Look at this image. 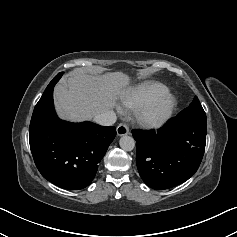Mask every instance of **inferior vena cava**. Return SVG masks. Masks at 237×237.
Masks as SVG:
<instances>
[{"mask_svg":"<svg viewBox=\"0 0 237 237\" xmlns=\"http://www.w3.org/2000/svg\"><path fill=\"white\" fill-rule=\"evenodd\" d=\"M116 119H117L116 114L112 110L105 111L94 117L95 123L101 126L113 125L116 122Z\"/></svg>","mask_w":237,"mask_h":237,"instance_id":"602c4592","label":"inferior vena cava"}]
</instances>
